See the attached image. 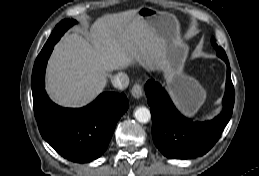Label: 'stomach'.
<instances>
[{"mask_svg": "<svg viewBox=\"0 0 259 176\" xmlns=\"http://www.w3.org/2000/svg\"><path fill=\"white\" fill-rule=\"evenodd\" d=\"M137 11L161 39V68L175 103L184 114L195 115L204 103L206 93L195 79L183 73L188 47L179 38L175 17L147 6L140 7Z\"/></svg>", "mask_w": 259, "mask_h": 176, "instance_id": "obj_1", "label": "stomach"}]
</instances>
